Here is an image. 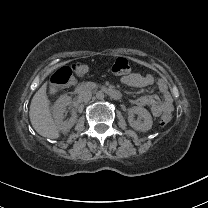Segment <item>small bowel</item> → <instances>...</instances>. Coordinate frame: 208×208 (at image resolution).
<instances>
[{
	"label": "small bowel",
	"instance_id": "small-bowel-1",
	"mask_svg": "<svg viewBox=\"0 0 208 208\" xmlns=\"http://www.w3.org/2000/svg\"><path fill=\"white\" fill-rule=\"evenodd\" d=\"M122 83L138 88H145L157 85L161 92V99L155 100L148 97H139L134 103L140 106H149L154 116H159L162 113H169L173 109L172 98L165 80L157 79L152 75H141L138 73H129L121 78Z\"/></svg>",
	"mask_w": 208,
	"mask_h": 208
}]
</instances>
